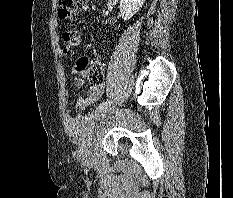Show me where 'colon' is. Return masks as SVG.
Masks as SVG:
<instances>
[{
  "instance_id": "colon-1",
  "label": "colon",
  "mask_w": 233,
  "mask_h": 198,
  "mask_svg": "<svg viewBox=\"0 0 233 198\" xmlns=\"http://www.w3.org/2000/svg\"><path fill=\"white\" fill-rule=\"evenodd\" d=\"M88 0H59L58 16L60 20L72 23L78 16L79 7L87 4ZM63 38L69 45H77L80 42V32L72 25L63 32ZM80 59L78 64H83ZM104 72L100 64H94L87 72V80L91 87H98L103 83Z\"/></svg>"
}]
</instances>
